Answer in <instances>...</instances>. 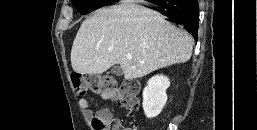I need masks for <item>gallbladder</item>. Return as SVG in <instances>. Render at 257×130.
I'll list each match as a JSON object with an SVG mask.
<instances>
[{"label":"gallbladder","mask_w":257,"mask_h":130,"mask_svg":"<svg viewBox=\"0 0 257 130\" xmlns=\"http://www.w3.org/2000/svg\"><path fill=\"white\" fill-rule=\"evenodd\" d=\"M110 72H111L113 75H116V76H122L123 73H124L122 67H120V66H114V67H112V69L110 70Z\"/></svg>","instance_id":"gallbladder-1"}]
</instances>
